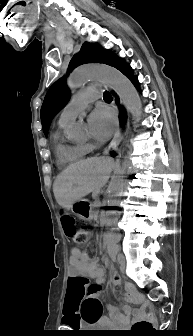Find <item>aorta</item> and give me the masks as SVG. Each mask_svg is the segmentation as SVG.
Returning <instances> with one entry per match:
<instances>
[{"instance_id":"obj_1","label":"aorta","mask_w":193,"mask_h":336,"mask_svg":"<svg viewBox=\"0 0 193 336\" xmlns=\"http://www.w3.org/2000/svg\"><path fill=\"white\" fill-rule=\"evenodd\" d=\"M97 79L109 86L119 95L120 99L132 114L136 121L142 118V103L139 94L133 84L117 69L107 65H83L77 67L68 79L70 89H76L87 82ZM72 140H79L84 135L83 127L80 124H73L68 132ZM126 165L118 166L115 176L109 185V206H117L120 203V196L124 190L123 174Z\"/></svg>"}]
</instances>
